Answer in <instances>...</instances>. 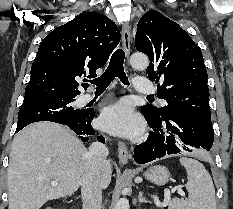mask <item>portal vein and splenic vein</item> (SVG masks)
Masks as SVG:
<instances>
[{
  "mask_svg": "<svg viewBox=\"0 0 233 209\" xmlns=\"http://www.w3.org/2000/svg\"><path fill=\"white\" fill-rule=\"evenodd\" d=\"M57 184H58L57 181H52L51 182L52 186H56ZM177 192H178L179 195L185 196V193L183 192V190L180 187L177 189ZM153 198L155 199V201H158L156 196H153ZM169 202H170V191L167 190L165 192V199H164V201L162 203H159V206L160 207H165L166 205L169 204Z\"/></svg>",
  "mask_w": 233,
  "mask_h": 209,
  "instance_id": "portal-vein-and-splenic-vein-1",
  "label": "portal vein and splenic vein"
}]
</instances>
